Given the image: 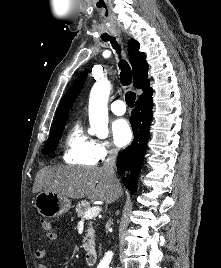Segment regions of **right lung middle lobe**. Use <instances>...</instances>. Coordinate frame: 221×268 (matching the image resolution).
Wrapping results in <instances>:
<instances>
[{
  "instance_id": "right-lung-middle-lobe-1",
  "label": "right lung middle lobe",
  "mask_w": 221,
  "mask_h": 268,
  "mask_svg": "<svg viewBox=\"0 0 221 268\" xmlns=\"http://www.w3.org/2000/svg\"><path fill=\"white\" fill-rule=\"evenodd\" d=\"M64 124L65 123H62L60 125L52 127V131L50 132L49 138H48L46 145L43 149V154L47 155V154H51L55 151V149L58 145L59 139L62 136Z\"/></svg>"
}]
</instances>
